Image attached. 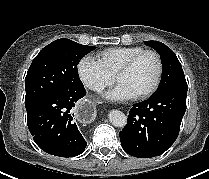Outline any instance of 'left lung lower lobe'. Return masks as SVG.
Here are the masks:
<instances>
[{
    "label": "left lung lower lobe",
    "instance_id": "obj_1",
    "mask_svg": "<svg viewBox=\"0 0 209 179\" xmlns=\"http://www.w3.org/2000/svg\"><path fill=\"white\" fill-rule=\"evenodd\" d=\"M187 85L175 86L134 104L120 132L122 148L131 156L150 158L176 140L186 111Z\"/></svg>",
    "mask_w": 209,
    "mask_h": 179
}]
</instances>
